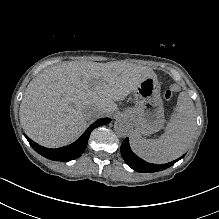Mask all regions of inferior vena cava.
<instances>
[{
  "mask_svg": "<svg viewBox=\"0 0 219 219\" xmlns=\"http://www.w3.org/2000/svg\"><path fill=\"white\" fill-rule=\"evenodd\" d=\"M89 116L92 121L98 122L103 119L104 113L101 108L95 107L90 110Z\"/></svg>",
  "mask_w": 219,
  "mask_h": 219,
  "instance_id": "inferior-vena-cava-1",
  "label": "inferior vena cava"
}]
</instances>
